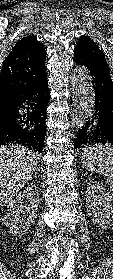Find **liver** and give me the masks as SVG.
<instances>
[{
    "instance_id": "1",
    "label": "liver",
    "mask_w": 113,
    "mask_h": 279,
    "mask_svg": "<svg viewBox=\"0 0 113 279\" xmlns=\"http://www.w3.org/2000/svg\"><path fill=\"white\" fill-rule=\"evenodd\" d=\"M38 159V153L24 146H0V207L10 203L31 179Z\"/></svg>"
}]
</instances>
